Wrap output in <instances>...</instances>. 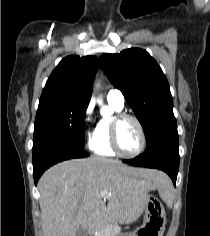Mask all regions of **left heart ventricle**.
<instances>
[{
	"label": "left heart ventricle",
	"mask_w": 210,
	"mask_h": 236,
	"mask_svg": "<svg viewBox=\"0 0 210 236\" xmlns=\"http://www.w3.org/2000/svg\"><path fill=\"white\" fill-rule=\"evenodd\" d=\"M118 140L124 153H134L140 146L141 137L137 124L131 119L123 120L119 125Z\"/></svg>",
	"instance_id": "b2bd125f"
}]
</instances>
